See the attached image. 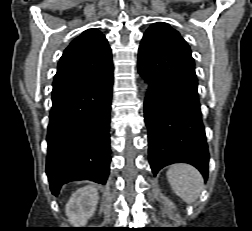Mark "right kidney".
Instances as JSON below:
<instances>
[{
    "label": "right kidney",
    "instance_id": "1",
    "mask_svg": "<svg viewBox=\"0 0 252 231\" xmlns=\"http://www.w3.org/2000/svg\"><path fill=\"white\" fill-rule=\"evenodd\" d=\"M98 199L95 186L87 185L76 190L65 207L69 222L76 227L84 226L94 214Z\"/></svg>",
    "mask_w": 252,
    "mask_h": 231
}]
</instances>
